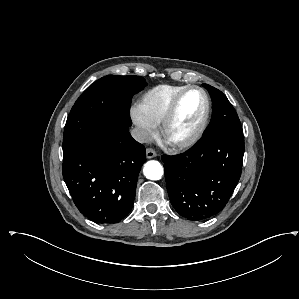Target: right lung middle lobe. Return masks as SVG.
Returning a JSON list of instances; mask_svg holds the SVG:
<instances>
[{
    "label": "right lung middle lobe",
    "mask_w": 299,
    "mask_h": 299,
    "mask_svg": "<svg viewBox=\"0 0 299 299\" xmlns=\"http://www.w3.org/2000/svg\"><path fill=\"white\" fill-rule=\"evenodd\" d=\"M146 84L140 76L117 75L93 83L75 102L67 118L63 155L104 128L116 124L130 126L131 99Z\"/></svg>",
    "instance_id": "obj_1"
}]
</instances>
